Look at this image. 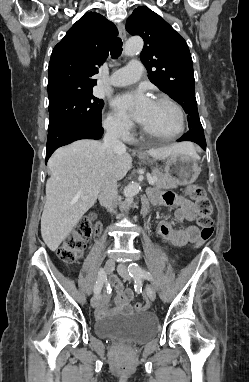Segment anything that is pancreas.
Segmentation results:
<instances>
[{
	"label": "pancreas",
	"mask_w": 249,
	"mask_h": 382,
	"mask_svg": "<svg viewBox=\"0 0 249 382\" xmlns=\"http://www.w3.org/2000/svg\"><path fill=\"white\" fill-rule=\"evenodd\" d=\"M152 176L157 178L155 182V189H174L177 188L178 182L172 178H169L158 169L152 170Z\"/></svg>",
	"instance_id": "cf45deb5"
}]
</instances>
